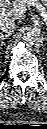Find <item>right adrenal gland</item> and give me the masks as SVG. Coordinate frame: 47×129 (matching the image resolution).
<instances>
[{
	"label": "right adrenal gland",
	"mask_w": 47,
	"mask_h": 129,
	"mask_svg": "<svg viewBox=\"0 0 47 129\" xmlns=\"http://www.w3.org/2000/svg\"><path fill=\"white\" fill-rule=\"evenodd\" d=\"M8 38V35H4V34H1L0 35V45H4L5 44V40Z\"/></svg>",
	"instance_id": "obj_1"
}]
</instances>
